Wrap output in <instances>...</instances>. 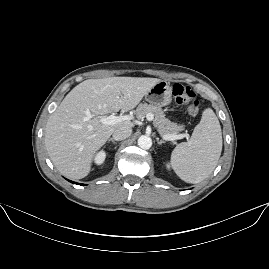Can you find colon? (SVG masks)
Returning <instances> with one entry per match:
<instances>
[{"instance_id":"obj_1","label":"colon","mask_w":269,"mask_h":269,"mask_svg":"<svg viewBox=\"0 0 269 269\" xmlns=\"http://www.w3.org/2000/svg\"><path fill=\"white\" fill-rule=\"evenodd\" d=\"M172 95L174 103L184 105L190 116L196 117L199 115L201 100L190 87L177 82L172 86Z\"/></svg>"}]
</instances>
